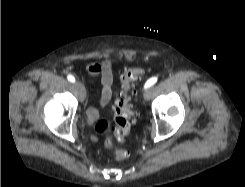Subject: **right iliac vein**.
Returning a JSON list of instances; mask_svg holds the SVG:
<instances>
[{"label": "right iliac vein", "instance_id": "right-iliac-vein-1", "mask_svg": "<svg viewBox=\"0 0 245 187\" xmlns=\"http://www.w3.org/2000/svg\"><path fill=\"white\" fill-rule=\"evenodd\" d=\"M74 88L77 91L78 97L81 101H83L86 97V91L82 83L80 82H75L74 83Z\"/></svg>", "mask_w": 245, "mask_h": 187}]
</instances>
